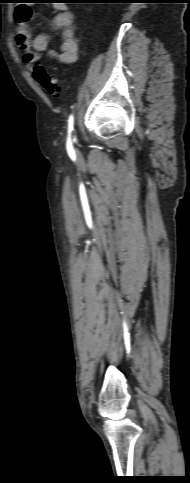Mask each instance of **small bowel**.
<instances>
[{
    "instance_id": "c3829d8e",
    "label": "small bowel",
    "mask_w": 190,
    "mask_h": 483,
    "mask_svg": "<svg viewBox=\"0 0 190 483\" xmlns=\"http://www.w3.org/2000/svg\"><path fill=\"white\" fill-rule=\"evenodd\" d=\"M23 18H19V16ZM31 15V7L28 4H20L16 7L14 16L18 23L15 35V44L22 52L23 60L28 66H32L40 59V53H46L50 58L62 64H72L78 58V43L75 39L76 27L73 22L71 11L60 7L58 13L52 18L51 24L61 31V42L57 49H50L49 38L46 34L34 35L27 25Z\"/></svg>"
}]
</instances>
